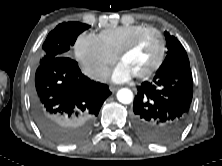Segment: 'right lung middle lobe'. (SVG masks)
<instances>
[{
	"instance_id": "dd1d6c3e",
	"label": "right lung middle lobe",
	"mask_w": 222,
	"mask_h": 166,
	"mask_svg": "<svg viewBox=\"0 0 222 166\" xmlns=\"http://www.w3.org/2000/svg\"><path fill=\"white\" fill-rule=\"evenodd\" d=\"M89 27V25L79 22H68L59 24L48 34L42 46L44 50V56L40 60V63H43L58 56L67 55L70 47L74 45L77 36ZM43 133L48 138H50L47 133Z\"/></svg>"
}]
</instances>
